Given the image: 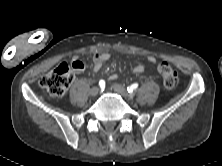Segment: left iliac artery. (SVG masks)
Listing matches in <instances>:
<instances>
[{
	"label": "left iliac artery",
	"instance_id": "44dca946",
	"mask_svg": "<svg viewBox=\"0 0 222 166\" xmlns=\"http://www.w3.org/2000/svg\"><path fill=\"white\" fill-rule=\"evenodd\" d=\"M137 88H138V84H137V83H134V84H132L131 86H128V87H127V91H128L129 93H132L133 90H135V89H137Z\"/></svg>",
	"mask_w": 222,
	"mask_h": 166
}]
</instances>
